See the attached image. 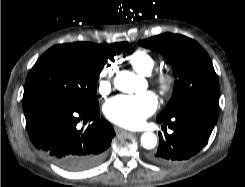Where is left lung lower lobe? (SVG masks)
I'll return each mask as SVG.
<instances>
[{"mask_svg":"<svg viewBox=\"0 0 245 187\" xmlns=\"http://www.w3.org/2000/svg\"><path fill=\"white\" fill-rule=\"evenodd\" d=\"M217 117L218 104L215 103L190 107L168 118L157 117V121L163 123V130L168 126L173 133H159V147L150 159L163 165L189 159L208 141Z\"/></svg>","mask_w":245,"mask_h":187,"instance_id":"1","label":"left lung lower lobe"}]
</instances>
